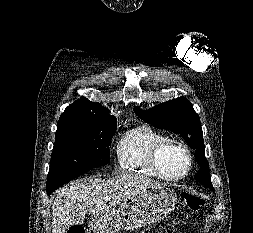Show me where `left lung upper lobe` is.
I'll return each mask as SVG.
<instances>
[{
  "label": "left lung upper lobe",
  "instance_id": "obj_1",
  "mask_svg": "<svg viewBox=\"0 0 253 233\" xmlns=\"http://www.w3.org/2000/svg\"><path fill=\"white\" fill-rule=\"evenodd\" d=\"M134 111L142 120L154 127L180 134L187 144L195 149V159L200 166L195 179L206 187L214 189L204 152L201 122L190 101L185 97H178L149 110L142 111L139 107H135Z\"/></svg>",
  "mask_w": 253,
  "mask_h": 233
}]
</instances>
